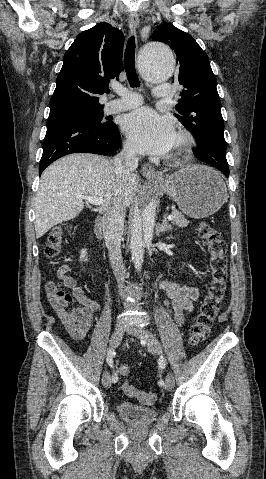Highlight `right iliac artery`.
<instances>
[{
	"instance_id": "obj_1",
	"label": "right iliac artery",
	"mask_w": 266,
	"mask_h": 479,
	"mask_svg": "<svg viewBox=\"0 0 266 479\" xmlns=\"http://www.w3.org/2000/svg\"><path fill=\"white\" fill-rule=\"evenodd\" d=\"M114 354H115V353H114V351H113L112 349H110V350L108 351L106 361H107V363H108V365H109L110 367H113V355H114ZM117 380H118V376H117V374L115 373V374L112 376V382H113V383H116Z\"/></svg>"
}]
</instances>
